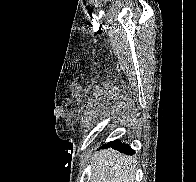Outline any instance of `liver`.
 <instances>
[{"instance_id": "liver-1", "label": "liver", "mask_w": 196, "mask_h": 182, "mask_svg": "<svg viewBox=\"0 0 196 182\" xmlns=\"http://www.w3.org/2000/svg\"><path fill=\"white\" fill-rule=\"evenodd\" d=\"M90 182H134L135 162L132 157L105 149L93 157Z\"/></svg>"}]
</instances>
